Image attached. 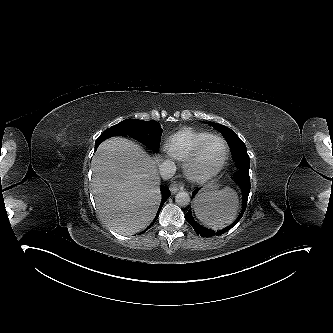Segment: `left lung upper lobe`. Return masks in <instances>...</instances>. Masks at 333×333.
<instances>
[{"label":"left lung upper lobe","mask_w":333,"mask_h":333,"mask_svg":"<svg viewBox=\"0 0 333 333\" xmlns=\"http://www.w3.org/2000/svg\"><path fill=\"white\" fill-rule=\"evenodd\" d=\"M209 124L212 125L214 128H216L217 130H219L228 141L234 161L237 162V168L240 169L236 173L235 179L239 178L244 173L245 174L249 173L250 161L246 151V145L244 144V142L230 128L220 124H215L213 122H210Z\"/></svg>","instance_id":"5c2ea615"}]
</instances>
